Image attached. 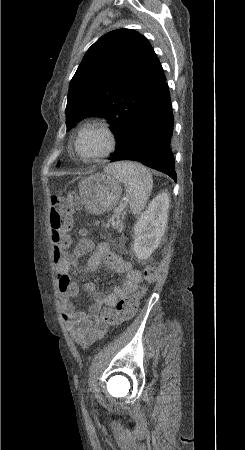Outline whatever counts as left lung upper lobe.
<instances>
[{
	"instance_id": "5c2ea615",
	"label": "left lung upper lobe",
	"mask_w": 245,
	"mask_h": 450,
	"mask_svg": "<svg viewBox=\"0 0 245 450\" xmlns=\"http://www.w3.org/2000/svg\"><path fill=\"white\" fill-rule=\"evenodd\" d=\"M166 77L151 44L131 29L111 31L86 52L70 82L67 130L90 116L108 119L118 152ZM59 166V164H58Z\"/></svg>"
}]
</instances>
